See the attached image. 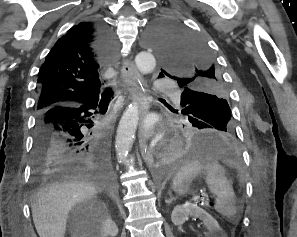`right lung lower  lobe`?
Instances as JSON below:
<instances>
[{
    "instance_id": "1",
    "label": "right lung lower lobe",
    "mask_w": 297,
    "mask_h": 237,
    "mask_svg": "<svg viewBox=\"0 0 297 237\" xmlns=\"http://www.w3.org/2000/svg\"><path fill=\"white\" fill-rule=\"evenodd\" d=\"M101 45L110 35L98 26ZM95 101L76 106H54L37 112L33 150V178L36 182L61 179L72 174L91 173L112 176V165L106 139L90 138L82 128H91ZM92 133H90L91 135Z\"/></svg>"
}]
</instances>
